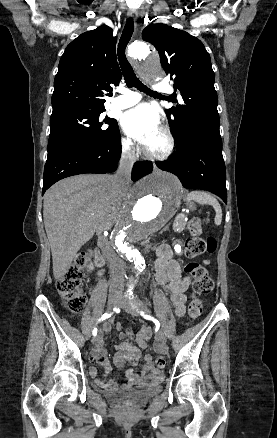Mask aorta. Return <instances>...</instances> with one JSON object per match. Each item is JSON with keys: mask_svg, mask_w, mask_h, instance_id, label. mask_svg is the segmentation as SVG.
I'll return each mask as SVG.
<instances>
[{"mask_svg": "<svg viewBox=\"0 0 277 438\" xmlns=\"http://www.w3.org/2000/svg\"><path fill=\"white\" fill-rule=\"evenodd\" d=\"M129 56L143 59L141 74L152 80L162 76L159 58L142 42L133 43ZM181 198V184L170 173L157 171L138 181L116 221L111 233L115 250L131 260L138 271H143L145 261L138 250L139 244L161 229L176 213Z\"/></svg>", "mask_w": 277, "mask_h": 438, "instance_id": "762f6f07", "label": "aorta"}]
</instances>
